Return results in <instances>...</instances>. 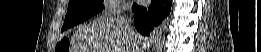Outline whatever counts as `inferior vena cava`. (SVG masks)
Returning a JSON list of instances; mask_svg holds the SVG:
<instances>
[{
    "instance_id": "602c4592",
    "label": "inferior vena cava",
    "mask_w": 261,
    "mask_h": 52,
    "mask_svg": "<svg viewBox=\"0 0 261 52\" xmlns=\"http://www.w3.org/2000/svg\"><path fill=\"white\" fill-rule=\"evenodd\" d=\"M120 10L122 15L119 16L121 25L124 27L126 33L130 36L132 40L135 39V32L132 27L133 23V13L131 11L130 5L124 4L121 6ZM133 52H138V47L136 46Z\"/></svg>"
}]
</instances>
